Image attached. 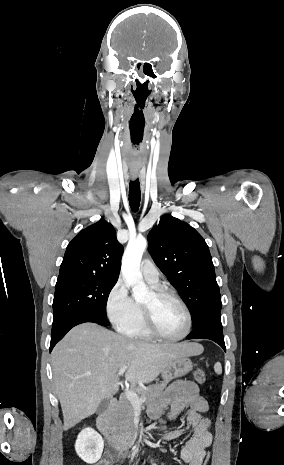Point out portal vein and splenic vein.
I'll list each match as a JSON object with an SVG mask.
<instances>
[{
  "mask_svg": "<svg viewBox=\"0 0 284 465\" xmlns=\"http://www.w3.org/2000/svg\"><path fill=\"white\" fill-rule=\"evenodd\" d=\"M127 369L128 367H122V369H119L117 373L118 377H122ZM125 397L128 401H130L132 407H141L142 403H145L147 399V397H138L136 393H133V391H127V389H125Z\"/></svg>",
  "mask_w": 284,
  "mask_h": 465,
  "instance_id": "1",
  "label": "portal vein and splenic vein"
}]
</instances>
